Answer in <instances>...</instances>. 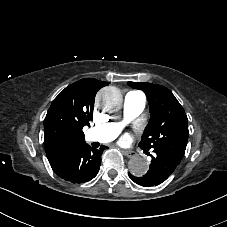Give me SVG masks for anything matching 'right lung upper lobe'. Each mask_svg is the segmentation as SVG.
<instances>
[{"label":"right lung upper lobe","instance_id":"cb5924a9","mask_svg":"<svg viewBox=\"0 0 227 227\" xmlns=\"http://www.w3.org/2000/svg\"><path fill=\"white\" fill-rule=\"evenodd\" d=\"M108 84L94 78L81 79L66 87L52 102L44 120V145L51 166L57 164L70 149L85 143L82 128L89 126L91 119L75 115L59 129L53 128L55 121L69 107H81L93 114L95 95Z\"/></svg>","mask_w":227,"mask_h":227}]
</instances>
